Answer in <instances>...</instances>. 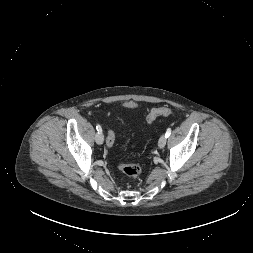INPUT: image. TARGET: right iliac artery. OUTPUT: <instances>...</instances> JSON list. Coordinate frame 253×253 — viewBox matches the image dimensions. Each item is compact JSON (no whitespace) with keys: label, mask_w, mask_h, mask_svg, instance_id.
<instances>
[{"label":"right iliac artery","mask_w":253,"mask_h":253,"mask_svg":"<svg viewBox=\"0 0 253 253\" xmlns=\"http://www.w3.org/2000/svg\"><path fill=\"white\" fill-rule=\"evenodd\" d=\"M96 129H97L98 133L102 132V128L99 124L96 125Z\"/></svg>","instance_id":"82829eb1"}]
</instances>
